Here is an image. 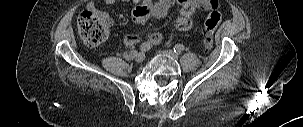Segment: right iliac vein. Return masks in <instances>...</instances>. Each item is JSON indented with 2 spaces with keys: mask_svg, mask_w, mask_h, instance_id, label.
Returning a JSON list of instances; mask_svg holds the SVG:
<instances>
[{
  "mask_svg": "<svg viewBox=\"0 0 303 127\" xmlns=\"http://www.w3.org/2000/svg\"><path fill=\"white\" fill-rule=\"evenodd\" d=\"M144 60H145V54H144L143 52L138 53V54L136 55V57H135V61H136L137 63H141V62H143Z\"/></svg>",
  "mask_w": 303,
  "mask_h": 127,
  "instance_id": "obj_1",
  "label": "right iliac vein"
}]
</instances>
